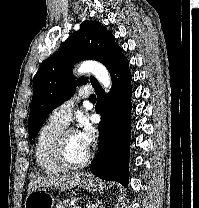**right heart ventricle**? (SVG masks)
<instances>
[{
  "label": "right heart ventricle",
  "instance_id": "1",
  "mask_svg": "<svg viewBox=\"0 0 199 208\" xmlns=\"http://www.w3.org/2000/svg\"><path fill=\"white\" fill-rule=\"evenodd\" d=\"M65 128V125L50 118L38 134L35 146V160L40 170L45 174L52 175L63 171L54 162L52 150L57 136Z\"/></svg>",
  "mask_w": 199,
  "mask_h": 208
}]
</instances>
